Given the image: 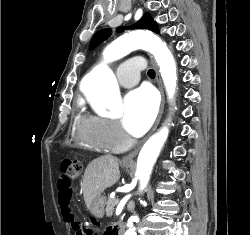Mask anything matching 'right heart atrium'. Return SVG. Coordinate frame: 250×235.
Returning a JSON list of instances; mask_svg holds the SVG:
<instances>
[{
  "mask_svg": "<svg viewBox=\"0 0 250 235\" xmlns=\"http://www.w3.org/2000/svg\"><path fill=\"white\" fill-rule=\"evenodd\" d=\"M99 131L102 140L117 150L127 146L130 142L129 137L115 121L101 118Z\"/></svg>",
  "mask_w": 250,
  "mask_h": 235,
  "instance_id": "obj_1",
  "label": "right heart atrium"
}]
</instances>
